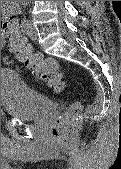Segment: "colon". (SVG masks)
Instances as JSON below:
<instances>
[{
    "instance_id": "1",
    "label": "colon",
    "mask_w": 121,
    "mask_h": 169,
    "mask_svg": "<svg viewBox=\"0 0 121 169\" xmlns=\"http://www.w3.org/2000/svg\"><path fill=\"white\" fill-rule=\"evenodd\" d=\"M4 38L8 49L32 71L36 79L46 83L56 93L65 89L66 83L56 60L44 58L40 54L32 52L25 38L15 29L6 31ZM79 110L80 104L74 103L70 105L65 113L54 123L52 127L54 141L62 144L69 140L73 132L74 120Z\"/></svg>"
}]
</instances>
